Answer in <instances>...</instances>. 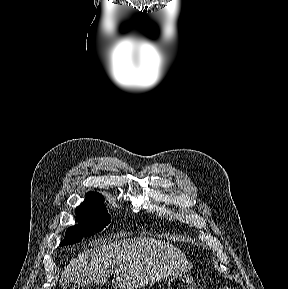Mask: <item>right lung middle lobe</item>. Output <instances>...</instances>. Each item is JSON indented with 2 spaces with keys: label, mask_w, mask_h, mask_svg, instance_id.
I'll list each match as a JSON object with an SVG mask.
<instances>
[{
  "label": "right lung middle lobe",
  "mask_w": 288,
  "mask_h": 289,
  "mask_svg": "<svg viewBox=\"0 0 288 289\" xmlns=\"http://www.w3.org/2000/svg\"><path fill=\"white\" fill-rule=\"evenodd\" d=\"M102 196L87 198L75 210L78 224L66 230L65 237L60 245H68L80 242L85 236L102 231L111 221L107 213Z\"/></svg>",
  "instance_id": "dd1d6c3e"
}]
</instances>
